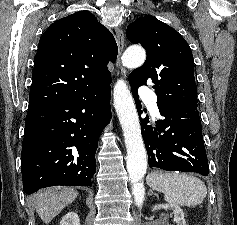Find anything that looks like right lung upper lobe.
<instances>
[{
	"label": "right lung upper lobe",
	"mask_w": 237,
	"mask_h": 225,
	"mask_svg": "<svg viewBox=\"0 0 237 225\" xmlns=\"http://www.w3.org/2000/svg\"><path fill=\"white\" fill-rule=\"evenodd\" d=\"M117 52L111 32L88 11L54 22L38 44L29 107L65 101L110 83L107 64Z\"/></svg>",
	"instance_id": "obj_1"
}]
</instances>
